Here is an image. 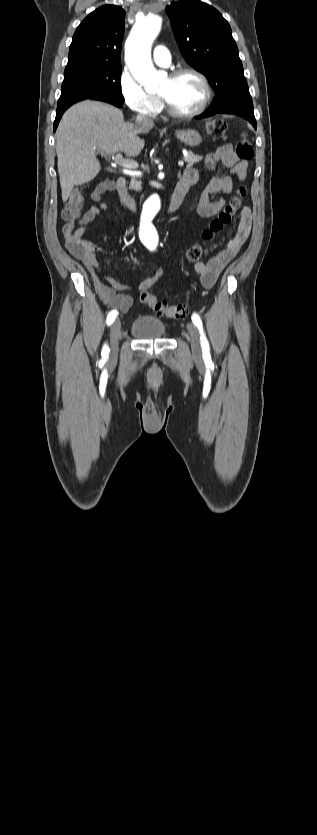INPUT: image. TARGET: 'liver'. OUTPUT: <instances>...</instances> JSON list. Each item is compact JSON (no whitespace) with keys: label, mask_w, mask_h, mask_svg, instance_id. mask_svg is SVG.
I'll return each instance as SVG.
<instances>
[{"label":"liver","mask_w":317,"mask_h":835,"mask_svg":"<svg viewBox=\"0 0 317 835\" xmlns=\"http://www.w3.org/2000/svg\"><path fill=\"white\" fill-rule=\"evenodd\" d=\"M150 128H139L124 122L120 109L98 101H81L63 115L56 131V153L62 199L67 201L74 185L93 180L100 171L97 152H124L138 156L144 141L138 133Z\"/></svg>","instance_id":"1"}]
</instances>
